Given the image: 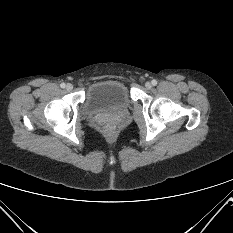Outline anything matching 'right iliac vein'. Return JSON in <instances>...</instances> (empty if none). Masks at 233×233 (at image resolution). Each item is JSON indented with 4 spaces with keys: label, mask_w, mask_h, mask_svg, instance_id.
<instances>
[{
    "label": "right iliac vein",
    "mask_w": 233,
    "mask_h": 233,
    "mask_svg": "<svg viewBox=\"0 0 233 233\" xmlns=\"http://www.w3.org/2000/svg\"><path fill=\"white\" fill-rule=\"evenodd\" d=\"M72 89H73V85L72 84L69 83V84L66 85V90L67 91H72Z\"/></svg>",
    "instance_id": "obj_1"
}]
</instances>
